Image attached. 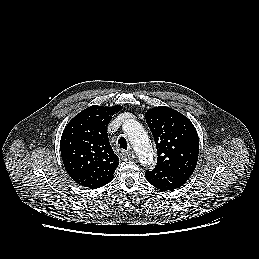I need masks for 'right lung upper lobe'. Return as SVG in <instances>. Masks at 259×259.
<instances>
[{
	"instance_id": "right-lung-upper-lobe-1",
	"label": "right lung upper lobe",
	"mask_w": 259,
	"mask_h": 259,
	"mask_svg": "<svg viewBox=\"0 0 259 259\" xmlns=\"http://www.w3.org/2000/svg\"><path fill=\"white\" fill-rule=\"evenodd\" d=\"M121 109L120 105L90 106L65 127L61 157L67 173L79 185L95 189L113 179L119 158L109 143L107 126Z\"/></svg>"
}]
</instances>
